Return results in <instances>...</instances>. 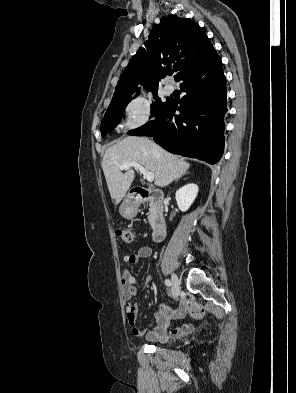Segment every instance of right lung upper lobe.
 <instances>
[{
  "label": "right lung upper lobe",
  "instance_id": "1",
  "mask_svg": "<svg viewBox=\"0 0 296 393\" xmlns=\"http://www.w3.org/2000/svg\"><path fill=\"white\" fill-rule=\"evenodd\" d=\"M212 46L199 25L187 18L164 17L155 25L145 42L124 69L115 88L112 101L126 99L135 92L138 84L148 90L158 88L160 79L173 67L177 80L190 66L196 63Z\"/></svg>",
  "mask_w": 296,
  "mask_h": 393
}]
</instances>
